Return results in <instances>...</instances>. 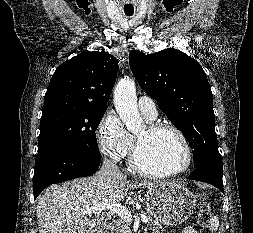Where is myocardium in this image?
I'll use <instances>...</instances> for the list:
<instances>
[{
    "instance_id": "f54148a6",
    "label": "myocardium",
    "mask_w": 253,
    "mask_h": 233,
    "mask_svg": "<svg viewBox=\"0 0 253 233\" xmlns=\"http://www.w3.org/2000/svg\"><path fill=\"white\" fill-rule=\"evenodd\" d=\"M170 131L174 133L178 139L181 141L185 149V162L182 167L176 170H149L141 162L140 150L141 141L139 138H135L134 146L131 154L132 167L140 174L151 177V178H161V177H173L185 173L191 166L193 161V151L192 147L185 136V134L175 125L166 122H150L147 126V131L150 134H154L160 131Z\"/></svg>"
}]
</instances>
